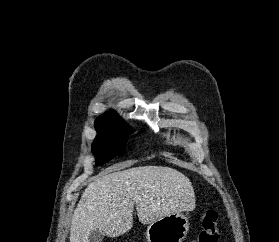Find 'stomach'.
Instances as JSON below:
<instances>
[{"label": "stomach", "instance_id": "0dacf381", "mask_svg": "<svg viewBox=\"0 0 279 242\" xmlns=\"http://www.w3.org/2000/svg\"><path fill=\"white\" fill-rule=\"evenodd\" d=\"M189 219L181 212L171 213L147 227V242H182L189 231Z\"/></svg>", "mask_w": 279, "mask_h": 242}]
</instances>
